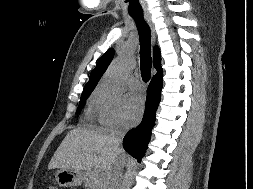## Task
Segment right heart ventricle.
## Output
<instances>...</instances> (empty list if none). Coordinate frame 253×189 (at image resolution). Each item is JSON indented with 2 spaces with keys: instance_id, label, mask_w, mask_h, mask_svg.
<instances>
[{
  "instance_id": "obj_1",
  "label": "right heart ventricle",
  "mask_w": 253,
  "mask_h": 189,
  "mask_svg": "<svg viewBox=\"0 0 253 189\" xmlns=\"http://www.w3.org/2000/svg\"><path fill=\"white\" fill-rule=\"evenodd\" d=\"M94 110H95V94L92 97L91 104L88 109V116L89 117H92Z\"/></svg>"
}]
</instances>
